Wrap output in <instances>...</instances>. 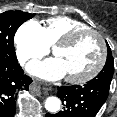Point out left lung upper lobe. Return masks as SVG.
I'll use <instances>...</instances> for the list:
<instances>
[{"label": "left lung upper lobe", "instance_id": "left-lung-upper-lobe-1", "mask_svg": "<svg viewBox=\"0 0 117 117\" xmlns=\"http://www.w3.org/2000/svg\"><path fill=\"white\" fill-rule=\"evenodd\" d=\"M107 47H108V56L106 64L102 69V71L94 79H92V81L109 88L114 73V60L111 54V49L108 44Z\"/></svg>", "mask_w": 117, "mask_h": 117}]
</instances>
